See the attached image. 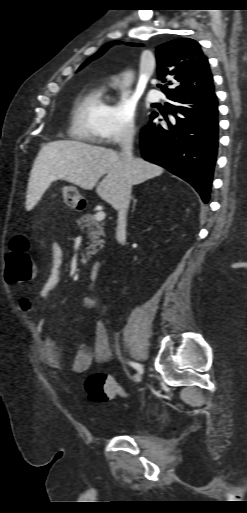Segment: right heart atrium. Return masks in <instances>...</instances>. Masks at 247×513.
I'll use <instances>...</instances> for the list:
<instances>
[{
	"label": "right heart atrium",
	"instance_id": "obj_1",
	"mask_svg": "<svg viewBox=\"0 0 247 513\" xmlns=\"http://www.w3.org/2000/svg\"><path fill=\"white\" fill-rule=\"evenodd\" d=\"M136 103L125 89H120L107 112L102 141L116 145L131 139L136 130Z\"/></svg>",
	"mask_w": 247,
	"mask_h": 513
}]
</instances>
